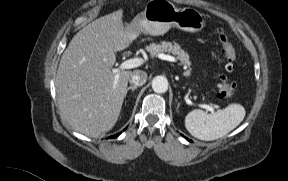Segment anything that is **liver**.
<instances>
[{
	"label": "liver",
	"instance_id": "liver-1",
	"mask_svg": "<svg viewBox=\"0 0 288 181\" xmlns=\"http://www.w3.org/2000/svg\"><path fill=\"white\" fill-rule=\"evenodd\" d=\"M123 10L82 28L62 54L57 75V101L67 122L84 135L98 137L116 124L133 71L121 70L114 86L115 53L126 49L137 33L124 27Z\"/></svg>",
	"mask_w": 288,
	"mask_h": 181
}]
</instances>
